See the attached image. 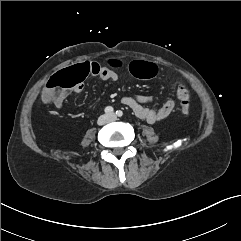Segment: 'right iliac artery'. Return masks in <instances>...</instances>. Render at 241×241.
Masks as SVG:
<instances>
[{
    "label": "right iliac artery",
    "mask_w": 241,
    "mask_h": 241,
    "mask_svg": "<svg viewBox=\"0 0 241 241\" xmlns=\"http://www.w3.org/2000/svg\"><path fill=\"white\" fill-rule=\"evenodd\" d=\"M113 111H114V109H113V107H111V106H107V107L105 108V113L110 114V113H112Z\"/></svg>",
    "instance_id": "1"
}]
</instances>
